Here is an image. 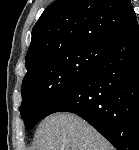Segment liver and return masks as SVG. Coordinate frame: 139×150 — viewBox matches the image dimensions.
<instances>
[{
  "instance_id": "1",
  "label": "liver",
  "mask_w": 139,
  "mask_h": 150,
  "mask_svg": "<svg viewBox=\"0 0 139 150\" xmlns=\"http://www.w3.org/2000/svg\"><path fill=\"white\" fill-rule=\"evenodd\" d=\"M35 138L36 150H113L92 126L70 113L45 118Z\"/></svg>"
}]
</instances>
